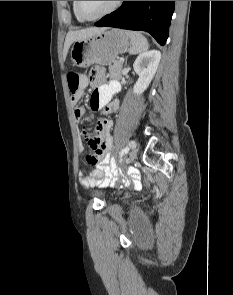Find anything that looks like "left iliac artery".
<instances>
[{
  "instance_id": "1",
  "label": "left iliac artery",
  "mask_w": 233,
  "mask_h": 295,
  "mask_svg": "<svg viewBox=\"0 0 233 295\" xmlns=\"http://www.w3.org/2000/svg\"><path fill=\"white\" fill-rule=\"evenodd\" d=\"M129 147H132V148L136 147V144H135L134 140H129Z\"/></svg>"
}]
</instances>
